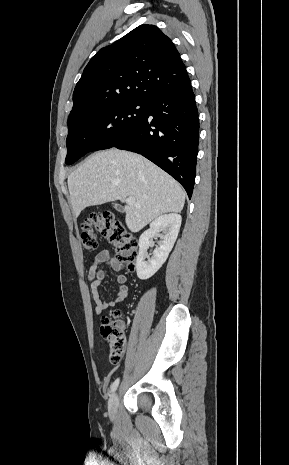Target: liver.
I'll list each match as a JSON object with an SVG mask.
<instances>
[{"mask_svg": "<svg viewBox=\"0 0 289 465\" xmlns=\"http://www.w3.org/2000/svg\"><path fill=\"white\" fill-rule=\"evenodd\" d=\"M70 201L75 218L89 206L128 197L125 222L138 232L164 213H179L185 192L170 175L141 155L111 148L94 153L68 177Z\"/></svg>", "mask_w": 289, "mask_h": 465, "instance_id": "1", "label": "liver"}]
</instances>
